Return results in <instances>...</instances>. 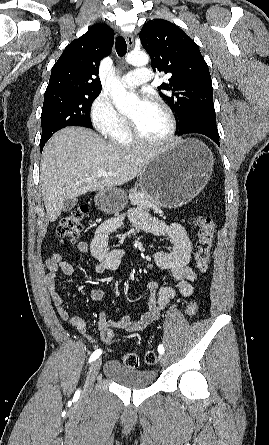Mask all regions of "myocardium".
Segmentation results:
<instances>
[{
    "mask_svg": "<svg viewBox=\"0 0 269 445\" xmlns=\"http://www.w3.org/2000/svg\"><path fill=\"white\" fill-rule=\"evenodd\" d=\"M149 102L154 103L155 105L159 106L167 115L168 120H169V129H168L167 133L162 138H159V139L146 138L140 133L136 124L130 117L127 118L129 130L131 132L133 139L138 143H141L144 145H150V146L166 145L168 142H170L172 140V138L174 137V135L176 133L177 120H176L175 114H174L173 110L170 108V106L165 101H163L162 99H160L158 97H152L149 100Z\"/></svg>",
    "mask_w": 269,
    "mask_h": 445,
    "instance_id": "f54148a6",
    "label": "myocardium"
}]
</instances>
